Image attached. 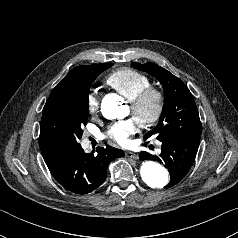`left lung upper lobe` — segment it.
Instances as JSON below:
<instances>
[{"mask_svg": "<svg viewBox=\"0 0 238 238\" xmlns=\"http://www.w3.org/2000/svg\"><path fill=\"white\" fill-rule=\"evenodd\" d=\"M134 68L159 80L164 89V106L157 126L144 139L156 136L159 141L174 137L200 139L202 124L193 96L187 86L172 73L153 63H132Z\"/></svg>", "mask_w": 238, "mask_h": 238, "instance_id": "1", "label": "left lung upper lobe"}]
</instances>
